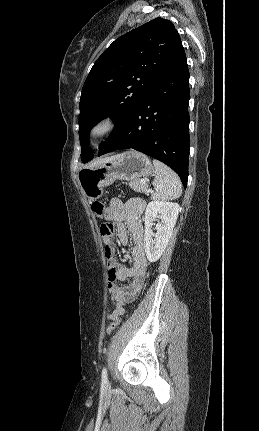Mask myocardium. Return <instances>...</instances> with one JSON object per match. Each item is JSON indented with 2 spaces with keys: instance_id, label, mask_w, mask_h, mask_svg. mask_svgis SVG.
<instances>
[{
  "instance_id": "myocardium-1",
  "label": "myocardium",
  "mask_w": 259,
  "mask_h": 431,
  "mask_svg": "<svg viewBox=\"0 0 259 431\" xmlns=\"http://www.w3.org/2000/svg\"><path fill=\"white\" fill-rule=\"evenodd\" d=\"M120 124V118L114 111H105L91 124L89 136L94 140H101L114 133Z\"/></svg>"
}]
</instances>
